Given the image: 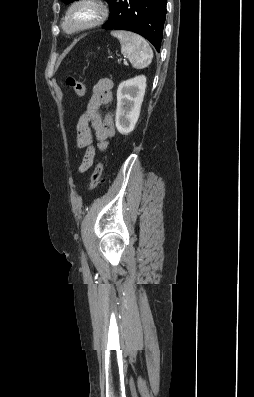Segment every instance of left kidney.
I'll use <instances>...</instances> for the list:
<instances>
[{"instance_id":"left-kidney-1","label":"left kidney","mask_w":254,"mask_h":397,"mask_svg":"<svg viewBox=\"0 0 254 397\" xmlns=\"http://www.w3.org/2000/svg\"><path fill=\"white\" fill-rule=\"evenodd\" d=\"M146 89V77L136 76L120 83L117 89L115 124L118 132L127 135L138 121Z\"/></svg>"}]
</instances>
